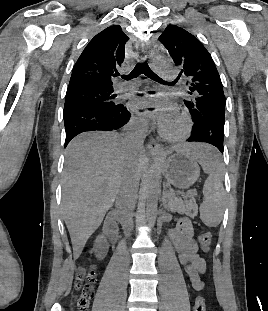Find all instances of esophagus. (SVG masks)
I'll use <instances>...</instances> for the list:
<instances>
[{
  "instance_id": "esophagus-1",
  "label": "esophagus",
  "mask_w": 268,
  "mask_h": 311,
  "mask_svg": "<svg viewBox=\"0 0 268 311\" xmlns=\"http://www.w3.org/2000/svg\"><path fill=\"white\" fill-rule=\"evenodd\" d=\"M137 50L142 53V59H145L147 56V49L145 48V46L141 44L139 47H137ZM148 149L151 154L157 155L161 151V146L154 139H150L148 142Z\"/></svg>"
}]
</instances>
